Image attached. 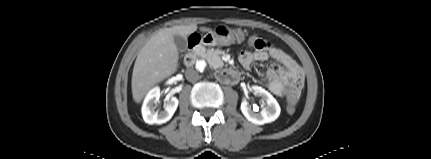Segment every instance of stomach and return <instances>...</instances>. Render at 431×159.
Returning a JSON list of instances; mask_svg holds the SVG:
<instances>
[{"instance_id": "stomach-1", "label": "stomach", "mask_w": 431, "mask_h": 159, "mask_svg": "<svg viewBox=\"0 0 431 159\" xmlns=\"http://www.w3.org/2000/svg\"><path fill=\"white\" fill-rule=\"evenodd\" d=\"M244 40V33L241 29H231L227 26L220 25L209 31L202 38V43L208 46L223 45L228 46L234 43H241Z\"/></svg>"}]
</instances>
